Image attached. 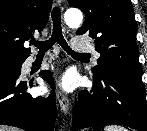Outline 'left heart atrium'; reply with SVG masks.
I'll return each mask as SVG.
<instances>
[{"label":"left heart atrium","mask_w":147,"mask_h":131,"mask_svg":"<svg viewBox=\"0 0 147 131\" xmlns=\"http://www.w3.org/2000/svg\"><path fill=\"white\" fill-rule=\"evenodd\" d=\"M58 85L67 92L72 91L76 85V78L72 73H66L62 76Z\"/></svg>","instance_id":"39dd6f15"}]
</instances>
